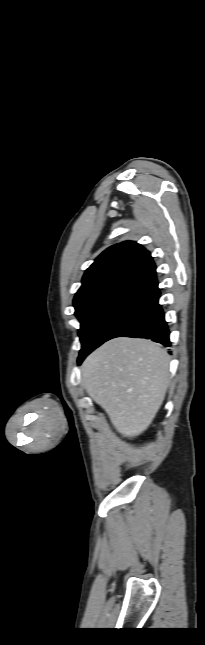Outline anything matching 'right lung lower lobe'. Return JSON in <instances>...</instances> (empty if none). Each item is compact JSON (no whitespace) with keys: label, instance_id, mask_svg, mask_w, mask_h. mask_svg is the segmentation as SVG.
<instances>
[{"label":"right lung lower lobe","instance_id":"1","mask_svg":"<svg viewBox=\"0 0 205 645\" xmlns=\"http://www.w3.org/2000/svg\"><path fill=\"white\" fill-rule=\"evenodd\" d=\"M159 297L160 291L157 285L150 290V297L145 305L112 331L105 341L115 337L147 338L164 346H170V332L164 312L158 303ZM90 352L82 355L78 363L80 364Z\"/></svg>","mask_w":205,"mask_h":645}]
</instances>
